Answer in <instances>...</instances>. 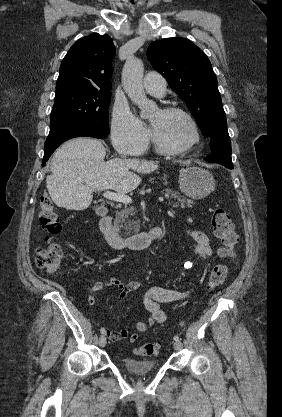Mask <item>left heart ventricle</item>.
Wrapping results in <instances>:
<instances>
[{"mask_svg": "<svg viewBox=\"0 0 282 417\" xmlns=\"http://www.w3.org/2000/svg\"><path fill=\"white\" fill-rule=\"evenodd\" d=\"M149 121L155 133L167 145H182L191 137L186 121L178 115H168L156 110L151 113Z\"/></svg>", "mask_w": 282, "mask_h": 417, "instance_id": "b2bd125f", "label": "left heart ventricle"}]
</instances>
